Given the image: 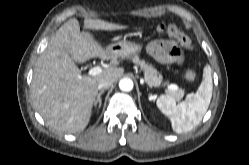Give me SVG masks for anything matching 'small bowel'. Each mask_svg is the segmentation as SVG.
I'll return each mask as SVG.
<instances>
[{"label": "small bowel", "instance_id": "1", "mask_svg": "<svg viewBox=\"0 0 249 165\" xmlns=\"http://www.w3.org/2000/svg\"><path fill=\"white\" fill-rule=\"evenodd\" d=\"M148 52L160 63H182V54L176 43L172 40H155L147 47Z\"/></svg>", "mask_w": 249, "mask_h": 165}]
</instances>
